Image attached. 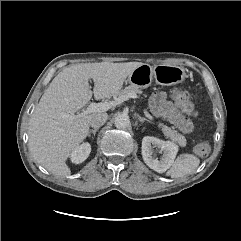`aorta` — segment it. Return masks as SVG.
Wrapping results in <instances>:
<instances>
[{"label":"aorta","instance_id":"obj_1","mask_svg":"<svg viewBox=\"0 0 241 241\" xmlns=\"http://www.w3.org/2000/svg\"><path fill=\"white\" fill-rule=\"evenodd\" d=\"M114 124L117 128L123 129L130 125V119L127 114H119L115 117Z\"/></svg>","mask_w":241,"mask_h":241}]
</instances>
